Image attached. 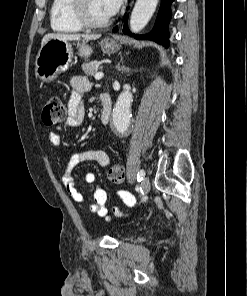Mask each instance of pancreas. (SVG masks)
<instances>
[{
	"mask_svg": "<svg viewBox=\"0 0 247 296\" xmlns=\"http://www.w3.org/2000/svg\"><path fill=\"white\" fill-rule=\"evenodd\" d=\"M101 62L95 60L89 63L82 64V69L84 72L89 76H95V74L98 72L99 66Z\"/></svg>",
	"mask_w": 247,
	"mask_h": 296,
	"instance_id": "1",
	"label": "pancreas"
}]
</instances>
